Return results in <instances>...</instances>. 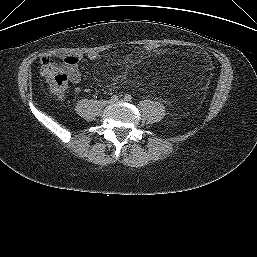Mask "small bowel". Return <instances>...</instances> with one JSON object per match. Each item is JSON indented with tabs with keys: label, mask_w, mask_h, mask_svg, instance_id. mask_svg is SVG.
<instances>
[{
	"label": "small bowel",
	"mask_w": 257,
	"mask_h": 257,
	"mask_svg": "<svg viewBox=\"0 0 257 257\" xmlns=\"http://www.w3.org/2000/svg\"><path fill=\"white\" fill-rule=\"evenodd\" d=\"M96 57L97 55L95 53H91L89 55L90 59H95ZM45 58H48V57H44L42 59V69L44 68L43 61ZM82 58H83L82 54L67 55L62 58L61 63L56 64L51 62V65L64 71L68 76V80L72 84H78L82 78L81 71L79 68V63L82 60Z\"/></svg>",
	"instance_id": "1"
}]
</instances>
